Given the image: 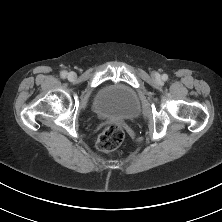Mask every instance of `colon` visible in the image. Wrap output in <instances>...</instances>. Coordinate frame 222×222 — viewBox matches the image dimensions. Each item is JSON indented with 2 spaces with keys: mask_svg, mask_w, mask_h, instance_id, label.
Instances as JSON below:
<instances>
[{
  "mask_svg": "<svg viewBox=\"0 0 222 222\" xmlns=\"http://www.w3.org/2000/svg\"><path fill=\"white\" fill-rule=\"evenodd\" d=\"M125 132L119 125L108 126L99 136L97 147L104 152L115 151L123 142Z\"/></svg>",
  "mask_w": 222,
  "mask_h": 222,
  "instance_id": "colon-1",
  "label": "colon"
}]
</instances>
